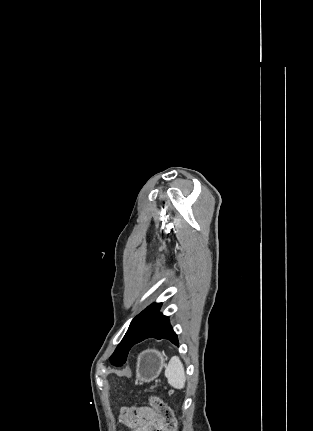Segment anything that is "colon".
<instances>
[{
  "label": "colon",
  "instance_id": "5ec220e1",
  "mask_svg": "<svg viewBox=\"0 0 313 431\" xmlns=\"http://www.w3.org/2000/svg\"><path fill=\"white\" fill-rule=\"evenodd\" d=\"M150 403L158 416L156 431H176L177 424L172 408L157 396H152Z\"/></svg>",
  "mask_w": 313,
  "mask_h": 431
}]
</instances>
